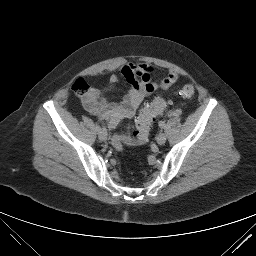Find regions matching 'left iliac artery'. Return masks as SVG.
Returning a JSON list of instances; mask_svg holds the SVG:
<instances>
[{"instance_id":"44dca946","label":"left iliac artery","mask_w":256,"mask_h":256,"mask_svg":"<svg viewBox=\"0 0 256 256\" xmlns=\"http://www.w3.org/2000/svg\"><path fill=\"white\" fill-rule=\"evenodd\" d=\"M159 126H160V128H164V127H165V123L161 121V122L159 123Z\"/></svg>"}]
</instances>
